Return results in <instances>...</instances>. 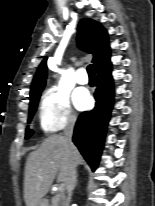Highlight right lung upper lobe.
Listing matches in <instances>:
<instances>
[{
	"instance_id": "obj_1",
	"label": "right lung upper lobe",
	"mask_w": 155,
	"mask_h": 206,
	"mask_svg": "<svg viewBox=\"0 0 155 206\" xmlns=\"http://www.w3.org/2000/svg\"><path fill=\"white\" fill-rule=\"evenodd\" d=\"M107 31L100 23L91 19H82L78 26L79 47L93 54V63L96 70H100L110 61V47L108 43ZM47 58H44L34 76L30 98L42 92L47 77Z\"/></svg>"
}]
</instances>
